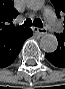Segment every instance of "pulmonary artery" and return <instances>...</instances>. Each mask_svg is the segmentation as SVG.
Listing matches in <instances>:
<instances>
[{
  "label": "pulmonary artery",
  "mask_w": 65,
  "mask_h": 89,
  "mask_svg": "<svg viewBox=\"0 0 65 89\" xmlns=\"http://www.w3.org/2000/svg\"><path fill=\"white\" fill-rule=\"evenodd\" d=\"M45 18L50 29L53 30L54 32H58L60 28V23L56 19L51 9L47 8L45 10Z\"/></svg>",
  "instance_id": "e3ab8cb5"
}]
</instances>
